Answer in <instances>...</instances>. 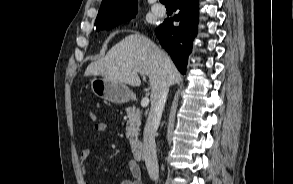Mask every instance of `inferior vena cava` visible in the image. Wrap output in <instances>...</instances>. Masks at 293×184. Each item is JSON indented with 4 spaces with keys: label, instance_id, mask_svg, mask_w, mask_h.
I'll return each instance as SVG.
<instances>
[{
    "label": "inferior vena cava",
    "instance_id": "1",
    "mask_svg": "<svg viewBox=\"0 0 293 184\" xmlns=\"http://www.w3.org/2000/svg\"><path fill=\"white\" fill-rule=\"evenodd\" d=\"M169 91V83L163 81L157 91L151 95V108L143 134V158L150 178L157 181L159 168L156 155L155 133L159 127L162 112Z\"/></svg>",
    "mask_w": 293,
    "mask_h": 184
}]
</instances>
